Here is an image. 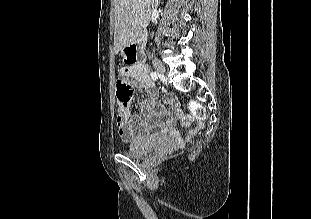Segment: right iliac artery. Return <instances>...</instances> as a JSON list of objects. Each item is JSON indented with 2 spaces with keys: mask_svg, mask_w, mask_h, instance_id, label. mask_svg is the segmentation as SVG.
I'll return each mask as SVG.
<instances>
[{
  "mask_svg": "<svg viewBox=\"0 0 311 219\" xmlns=\"http://www.w3.org/2000/svg\"><path fill=\"white\" fill-rule=\"evenodd\" d=\"M158 77H159V74H158L157 72L154 71V72L151 73V78H152L153 80L156 81V80L158 79Z\"/></svg>",
  "mask_w": 311,
  "mask_h": 219,
  "instance_id": "right-iliac-artery-1",
  "label": "right iliac artery"
}]
</instances>
